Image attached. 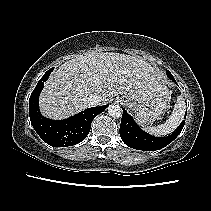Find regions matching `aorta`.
<instances>
[{
  "instance_id": "aorta-1",
  "label": "aorta",
  "mask_w": 211,
  "mask_h": 211,
  "mask_svg": "<svg viewBox=\"0 0 211 211\" xmlns=\"http://www.w3.org/2000/svg\"><path fill=\"white\" fill-rule=\"evenodd\" d=\"M108 114L114 118H119L122 115V109L119 105L112 104L108 107Z\"/></svg>"
}]
</instances>
